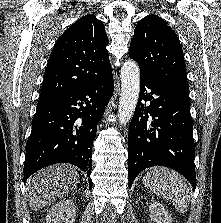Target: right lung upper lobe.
Segmentation results:
<instances>
[{"label":"right lung upper lobe","mask_w":221,"mask_h":223,"mask_svg":"<svg viewBox=\"0 0 221 223\" xmlns=\"http://www.w3.org/2000/svg\"><path fill=\"white\" fill-rule=\"evenodd\" d=\"M107 45L105 27L94 14L70 26L49 57L39 102L71 92L110 70Z\"/></svg>","instance_id":"1"}]
</instances>
